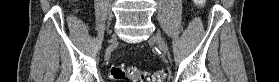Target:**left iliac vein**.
Masks as SVG:
<instances>
[{"label":"left iliac vein","instance_id":"obj_1","mask_svg":"<svg viewBox=\"0 0 279 82\" xmlns=\"http://www.w3.org/2000/svg\"><path fill=\"white\" fill-rule=\"evenodd\" d=\"M153 39L157 43V45L160 48V50L162 51V53L166 54L167 48H166L165 42H164L163 38L160 36V34L159 33L154 34Z\"/></svg>","mask_w":279,"mask_h":82}]
</instances>
